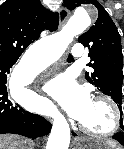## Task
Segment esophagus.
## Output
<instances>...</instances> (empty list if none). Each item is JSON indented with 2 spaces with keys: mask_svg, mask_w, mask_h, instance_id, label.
Returning <instances> with one entry per match:
<instances>
[{
  "mask_svg": "<svg viewBox=\"0 0 124 149\" xmlns=\"http://www.w3.org/2000/svg\"><path fill=\"white\" fill-rule=\"evenodd\" d=\"M69 16H70L69 10L65 7H61L59 10V27H62L67 22Z\"/></svg>",
  "mask_w": 124,
  "mask_h": 149,
  "instance_id": "34e87169",
  "label": "esophagus"
}]
</instances>
